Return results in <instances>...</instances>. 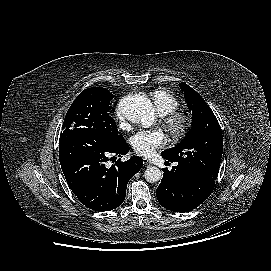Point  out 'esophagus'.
<instances>
[{"mask_svg": "<svg viewBox=\"0 0 271 271\" xmlns=\"http://www.w3.org/2000/svg\"><path fill=\"white\" fill-rule=\"evenodd\" d=\"M143 164H144L145 166H151V165H152V162H151L149 159H147V158H143Z\"/></svg>", "mask_w": 271, "mask_h": 271, "instance_id": "34e87169", "label": "esophagus"}]
</instances>
